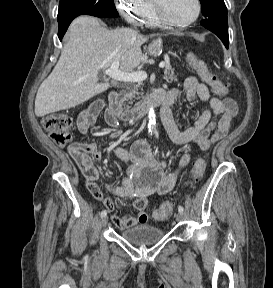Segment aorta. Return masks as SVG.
Here are the masks:
<instances>
[{"instance_id":"762f6f07","label":"aorta","mask_w":273,"mask_h":288,"mask_svg":"<svg viewBox=\"0 0 273 288\" xmlns=\"http://www.w3.org/2000/svg\"><path fill=\"white\" fill-rule=\"evenodd\" d=\"M156 129V114L153 108L149 109L148 113V131L152 134Z\"/></svg>"}]
</instances>
